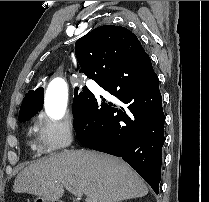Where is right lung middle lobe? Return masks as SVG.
<instances>
[{
  "label": "right lung middle lobe",
  "instance_id": "right-lung-middle-lobe-1",
  "mask_svg": "<svg viewBox=\"0 0 209 202\" xmlns=\"http://www.w3.org/2000/svg\"><path fill=\"white\" fill-rule=\"evenodd\" d=\"M93 97V93L85 86L83 88L76 87L74 90L73 100V117L79 116L85 109L89 99ZM42 106L21 109L19 112V122H25L31 119L38 111H41Z\"/></svg>",
  "mask_w": 209,
  "mask_h": 202
}]
</instances>
